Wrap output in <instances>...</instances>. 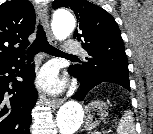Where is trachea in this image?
<instances>
[{
	"label": "trachea",
	"instance_id": "trachea-1",
	"mask_svg": "<svg viewBox=\"0 0 153 134\" xmlns=\"http://www.w3.org/2000/svg\"><path fill=\"white\" fill-rule=\"evenodd\" d=\"M40 50L53 56L76 57L71 54H66L61 50L50 45L47 41L43 26L39 24L36 39L27 50L28 60L32 59Z\"/></svg>",
	"mask_w": 153,
	"mask_h": 134
}]
</instances>
